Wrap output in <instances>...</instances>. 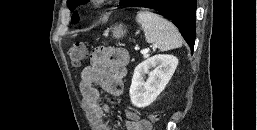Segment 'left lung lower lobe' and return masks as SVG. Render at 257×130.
Segmentation results:
<instances>
[{"label": "left lung lower lobe", "instance_id": "0a47b994", "mask_svg": "<svg viewBox=\"0 0 257 130\" xmlns=\"http://www.w3.org/2000/svg\"><path fill=\"white\" fill-rule=\"evenodd\" d=\"M135 5L154 9L172 21L193 49L196 36V0H138Z\"/></svg>", "mask_w": 257, "mask_h": 130}]
</instances>
